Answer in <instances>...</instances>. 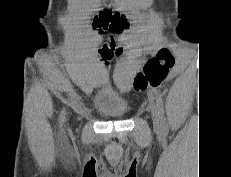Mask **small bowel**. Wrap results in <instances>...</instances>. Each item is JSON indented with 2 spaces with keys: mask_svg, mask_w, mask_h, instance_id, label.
Wrapping results in <instances>:
<instances>
[{
  "mask_svg": "<svg viewBox=\"0 0 231 177\" xmlns=\"http://www.w3.org/2000/svg\"><path fill=\"white\" fill-rule=\"evenodd\" d=\"M154 50V48H151V51H153Z\"/></svg>",
  "mask_w": 231,
  "mask_h": 177,
  "instance_id": "1",
  "label": "small bowel"
}]
</instances>
